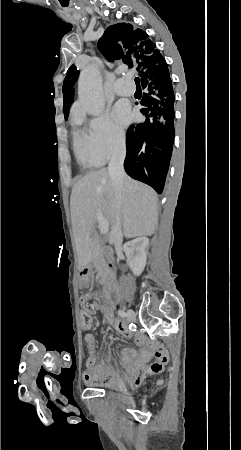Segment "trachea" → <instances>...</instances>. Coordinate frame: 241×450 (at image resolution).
Listing matches in <instances>:
<instances>
[{"mask_svg": "<svg viewBox=\"0 0 241 450\" xmlns=\"http://www.w3.org/2000/svg\"><path fill=\"white\" fill-rule=\"evenodd\" d=\"M134 80H135L136 85H139V81H140L139 77H136Z\"/></svg>", "mask_w": 241, "mask_h": 450, "instance_id": "obj_1", "label": "trachea"}]
</instances>
